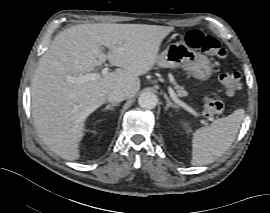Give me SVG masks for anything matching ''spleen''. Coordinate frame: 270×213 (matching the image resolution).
I'll return each mask as SVG.
<instances>
[{"mask_svg": "<svg viewBox=\"0 0 270 213\" xmlns=\"http://www.w3.org/2000/svg\"><path fill=\"white\" fill-rule=\"evenodd\" d=\"M243 118L244 110L237 109L227 117L197 129L192 136L191 164H209L222 156L235 140Z\"/></svg>", "mask_w": 270, "mask_h": 213, "instance_id": "obj_1", "label": "spleen"}]
</instances>
